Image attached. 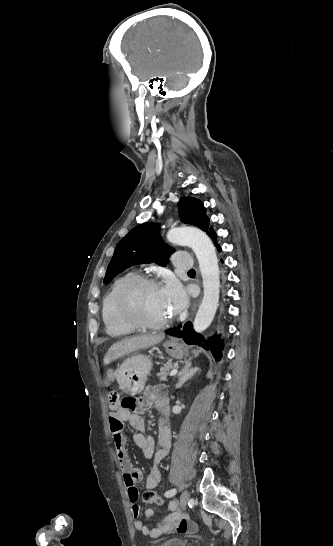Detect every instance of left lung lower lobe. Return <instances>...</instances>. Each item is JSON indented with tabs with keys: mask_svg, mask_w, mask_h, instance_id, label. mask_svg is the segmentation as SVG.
<instances>
[{
	"mask_svg": "<svg viewBox=\"0 0 333 546\" xmlns=\"http://www.w3.org/2000/svg\"><path fill=\"white\" fill-rule=\"evenodd\" d=\"M207 235L212 239L215 244V247L220 252L221 247L216 241L217 235L212 227L207 232ZM182 325L173 327L167 330L165 333L171 336L183 338L187 344H196L201 345L206 350H211L214 354L215 359L219 361L222 356L223 341L220 340V335L214 334L209 339H204V337L196 333L193 329L191 322H187L183 328Z\"/></svg>",
	"mask_w": 333,
	"mask_h": 546,
	"instance_id": "0a47b994",
	"label": "left lung lower lobe"
}]
</instances>
